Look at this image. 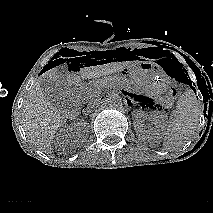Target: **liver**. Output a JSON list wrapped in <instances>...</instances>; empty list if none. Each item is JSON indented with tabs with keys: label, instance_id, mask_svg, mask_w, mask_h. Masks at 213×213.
Returning a JSON list of instances; mask_svg holds the SVG:
<instances>
[{
	"label": "liver",
	"instance_id": "6515ba94",
	"mask_svg": "<svg viewBox=\"0 0 213 213\" xmlns=\"http://www.w3.org/2000/svg\"><path fill=\"white\" fill-rule=\"evenodd\" d=\"M139 62H122L84 67L80 69L82 79H97L115 72L122 71L124 68L132 67ZM61 66L60 68H66ZM60 68H52L46 71L42 77L52 80H59L61 83L64 77L60 73ZM72 82L68 81V86ZM75 115L67 111H59L43 94L40 87V80L35 82L29 90L27 98L22 107V124L30 142L46 154L53 153L52 139L57 130L64 124L68 118H74Z\"/></svg>",
	"mask_w": 213,
	"mask_h": 213
}]
</instances>
